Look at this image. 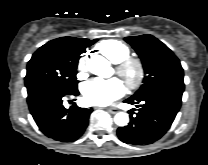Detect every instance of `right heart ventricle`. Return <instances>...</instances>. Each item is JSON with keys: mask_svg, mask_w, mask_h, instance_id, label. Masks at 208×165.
I'll use <instances>...</instances> for the list:
<instances>
[{"mask_svg": "<svg viewBox=\"0 0 208 165\" xmlns=\"http://www.w3.org/2000/svg\"><path fill=\"white\" fill-rule=\"evenodd\" d=\"M97 49L111 62L118 63L130 55L129 47L116 39H106L97 45Z\"/></svg>", "mask_w": 208, "mask_h": 165, "instance_id": "obj_1", "label": "right heart ventricle"}]
</instances>
